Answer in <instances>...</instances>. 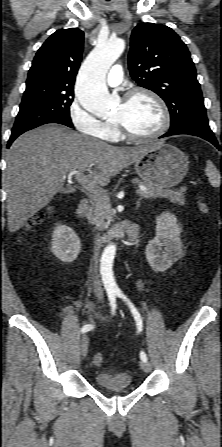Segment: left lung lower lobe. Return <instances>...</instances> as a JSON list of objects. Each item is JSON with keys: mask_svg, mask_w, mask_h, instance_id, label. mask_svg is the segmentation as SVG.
I'll use <instances>...</instances> for the list:
<instances>
[{"mask_svg": "<svg viewBox=\"0 0 222 447\" xmlns=\"http://www.w3.org/2000/svg\"><path fill=\"white\" fill-rule=\"evenodd\" d=\"M178 134H188V135H194V136L201 137V138L211 142L214 146H216L217 149L221 150V147L212 132H205V131H203L199 128L193 127V126H179L176 128H170L169 132L162 135L160 138L171 136V135H178Z\"/></svg>", "mask_w": 222, "mask_h": 447, "instance_id": "obj_1", "label": "left lung lower lobe"}]
</instances>
